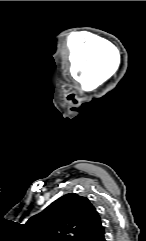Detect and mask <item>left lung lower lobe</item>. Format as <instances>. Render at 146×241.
<instances>
[{"instance_id": "0a47b994", "label": "left lung lower lobe", "mask_w": 146, "mask_h": 241, "mask_svg": "<svg viewBox=\"0 0 146 241\" xmlns=\"http://www.w3.org/2000/svg\"><path fill=\"white\" fill-rule=\"evenodd\" d=\"M104 234V228L102 224H100L94 231L82 237L80 241H106Z\"/></svg>"}]
</instances>
